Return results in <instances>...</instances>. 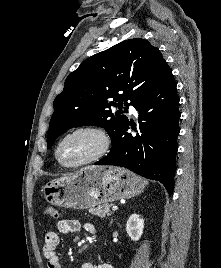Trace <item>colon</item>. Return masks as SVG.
I'll return each instance as SVG.
<instances>
[{"label":"colon","mask_w":221,"mask_h":268,"mask_svg":"<svg viewBox=\"0 0 221 268\" xmlns=\"http://www.w3.org/2000/svg\"><path fill=\"white\" fill-rule=\"evenodd\" d=\"M45 216L51 218V219H57L58 218V212L55 208L53 207H47L45 209Z\"/></svg>","instance_id":"1"}]
</instances>
